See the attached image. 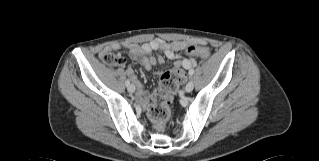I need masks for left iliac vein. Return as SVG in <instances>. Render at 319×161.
I'll return each instance as SVG.
<instances>
[{"mask_svg":"<svg viewBox=\"0 0 319 161\" xmlns=\"http://www.w3.org/2000/svg\"><path fill=\"white\" fill-rule=\"evenodd\" d=\"M193 88H194V83H193L192 80H190V81L186 84L184 90H185V92L190 93V92L193 90Z\"/></svg>","mask_w":319,"mask_h":161,"instance_id":"obj_1","label":"left iliac vein"}]
</instances>
